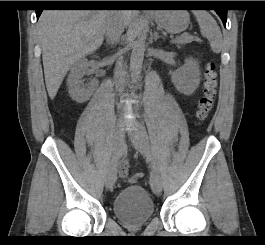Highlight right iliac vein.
Here are the masks:
<instances>
[{
	"label": "right iliac vein",
	"mask_w": 265,
	"mask_h": 245,
	"mask_svg": "<svg viewBox=\"0 0 265 245\" xmlns=\"http://www.w3.org/2000/svg\"><path fill=\"white\" fill-rule=\"evenodd\" d=\"M123 133L122 126L120 125L113 133L112 137V145H113V153L117 155L119 152L120 145L122 143ZM117 179V162L113 161L108 168L105 177V184L108 190H111L114 186V183Z\"/></svg>",
	"instance_id": "right-iliac-vein-1"
}]
</instances>
